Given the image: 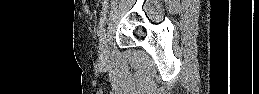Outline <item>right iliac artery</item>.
I'll return each mask as SVG.
<instances>
[{
	"instance_id": "82829eb1",
	"label": "right iliac artery",
	"mask_w": 259,
	"mask_h": 94,
	"mask_svg": "<svg viewBox=\"0 0 259 94\" xmlns=\"http://www.w3.org/2000/svg\"><path fill=\"white\" fill-rule=\"evenodd\" d=\"M106 9H107V4L106 2H104V5H103V11H102V17L100 19V22H99V25H98V30H97V34L98 36H101L103 30H104V23H105V14H106Z\"/></svg>"
}]
</instances>
